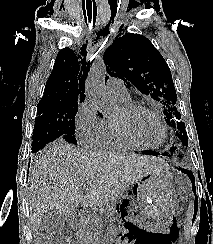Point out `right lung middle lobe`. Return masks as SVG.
Segmentation results:
<instances>
[{
	"mask_svg": "<svg viewBox=\"0 0 213 244\" xmlns=\"http://www.w3.org/2000/svg\"><path fill=\"white\" fill-rule=\"evenodd\" d=\"M78 102L41 101L33 130L32 151L55 140L76 144L75 116Z\"/></svg>",
	"mask_w": 213,
	"mask_h": 244,
	"instance_id": "right-lung-middle-lobe-1",
	"label": "right lung middle lobe"
}]
</instances>
